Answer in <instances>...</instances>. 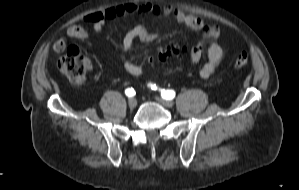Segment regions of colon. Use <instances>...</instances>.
<instances>
[{"label": "colon", "mask_w": 299, "mask_h": 190, "mask_svg": "<svg viewBox=\"0 0 299 190\" xmlns=\"http://www.w3.org/2000/svg\"><path fill=\"white\" fill-rule=\"evenodd\" d=\"M180 52L177 45L163 47L152 62H168ZM248 63V54L245 50L236 52L233 58V65L236 68H243ZM86 57L78 45L69 46L66 54L59 61V69L69 81L78 87L85 85L87 81Z\"/></svg>", "instance_id": "obj_1"}]
</instances>
